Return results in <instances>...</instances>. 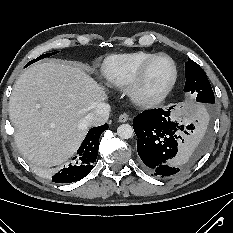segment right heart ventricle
Returning a JSON list of instances; mask_svg holds the SVG:
<instances>
[{"instance_id":"right-heart-ventricle-1","label":"right heart ventricle","mask_w":233,"mask_h":233,"mask_svg":"<svg viewBox=\"0 0 233 233\" xmlns=\"http://www.w3.org/2000/svg\"><path fill=\"white\" fill-rule=\"evenodd\" d=\"M155 55L157 54L137 51L109 56L102 66L106 84L115 88L127 87L138 69Z\"/></svg>"}]
</instances>
